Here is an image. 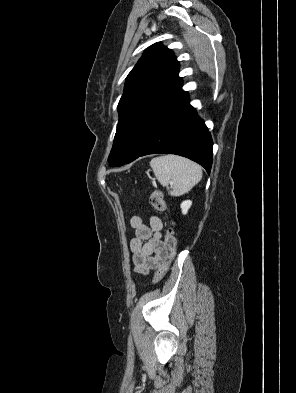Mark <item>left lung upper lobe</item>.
Wrapping results in <instances>:
<instances>
[{
    "mask_svg": "<svg viewBox=\"0 0 296 393\" xmlns=\"http://www.w3.org/2000/svg\"><path fill=\"white\" fill-rule=\"evenodd\" d=\"M178 68L171 50L156 43L131 70L118 104L119 122L108 157L111 166L125 164L150 124L182 93Z\"/></svg>",
    "mask_w": 296,
    "mask_h": 393,
    "instance_id": "1",
    "label": "left lung upper lobe"
}]
</instances>
